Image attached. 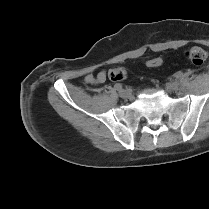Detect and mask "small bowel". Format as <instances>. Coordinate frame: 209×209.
Segmentation results:
<instances>
[{
  "mask_svg": "<svg viewBox=\"0 0 209 209\" xmlns=\"http://www.w3.org/2000/svg\"><path fill=\"white\" fill-rule=\"evenodd\" d=\"M106 72L101 71L99 72L96 76L93 75H87L85 77V81L91 84H97V83H102L106 80Z\"/></svg>",
  "mask_w": 209,
  "mask_h": 209,
  "instance_id": "1",
  "label": "small bowel"
}]
</instances>
